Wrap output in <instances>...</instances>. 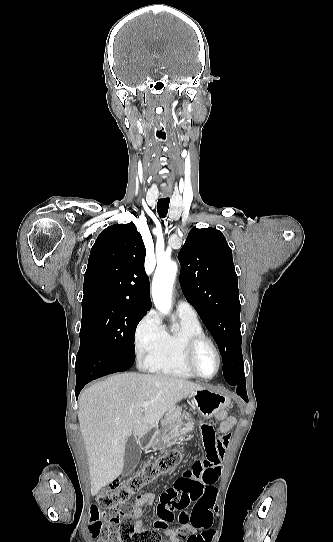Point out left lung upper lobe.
I'll return each instance as SVG.
<instances>
[{"instance_id": "left-lung-upper-lobe-1", "label": "left lung upper lobe", "mask_w": 333, "mask_h": 542, "mask_svg": "<svg viewBox=\"0 0 333 542\" xmlns=\"http://www.w3.org/2000/svg\"><path fill=\"white\" fill-rule=\"evenodd\" d=\"M178 259L182 291L218 345L224 378L244 373L238 279L224 235L194 227Z\"/></svg>"}]
</instances>
